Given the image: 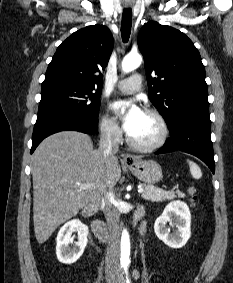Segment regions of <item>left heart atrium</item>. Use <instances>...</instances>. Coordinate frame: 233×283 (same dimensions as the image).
Here are the masks:
<instances>
[{
    "mask_svg": "<svg viewBox=\"0 0 233 283\" xmlns=\"http://www.w3.org/2000/svg\"><path fill=\"white\" fill-rule=\"evenodd\" d=\"M126 109V113L122 114V110ZM112 110L120 116L123 127L129 133L134 127L136 121L143 113V110L134 101H117L112 104Z\"/></svg>",
    "mask_w": 233,
    "mask_h": 283,
    "instance_id": "1",
    "label": "left heart atrium"
}]
</instances>
